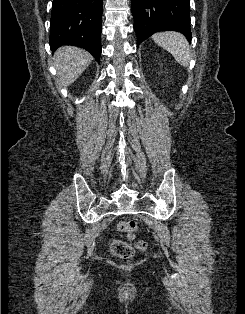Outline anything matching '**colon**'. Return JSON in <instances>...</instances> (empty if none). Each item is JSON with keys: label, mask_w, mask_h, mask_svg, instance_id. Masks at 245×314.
Wrapping results in <instances>:
<instances>
[{"label": "colon", "mask_w": 245, "mask_h": 314, "mask_svg": "<svg viewBox=\"0 0 245 314\" xmlns=\"http://www.w3.org/2000/svg\"><path fill=\"white\" fill-rule=\"evenodd\" d=\"M117 228L121 232L128 234L130 239H133L134 232L138 229V224L134 220H122L118 223ZM135 247L140 250H146L148 245L146 242L139 241ZM135 247L123 240H114L111 243L110 250L113 256L120 259H129L135 254Z\"/></svg>", "instance_id": "obj_1"}]
</instances>
